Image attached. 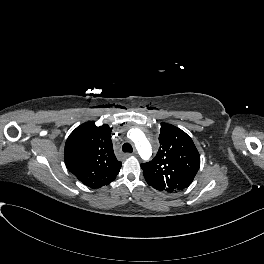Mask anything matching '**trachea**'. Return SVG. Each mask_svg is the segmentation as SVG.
<instances>
[{"label":"trachea","instance_id":"obj_1","mask_svg":"<svg viewBox=\"0 0 264 264\" xmlns=\"http://www.w3.org/2000/svg\"><path fill=\"white\" fill-rule=\"evenodd\" d=\"M122 150H123V152H128V153L133 152V148H132L131 144H129V143H124L122 146Z\"/></svg>","mask_w":264,"mask_h":264}]
</instances>
